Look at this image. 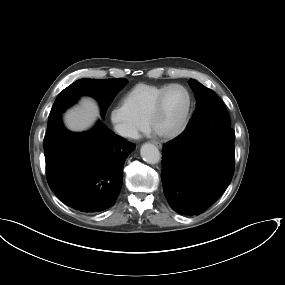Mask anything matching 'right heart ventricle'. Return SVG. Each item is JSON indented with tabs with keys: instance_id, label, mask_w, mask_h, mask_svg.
I'll list each match as a JSON object with an SVG mask.
<instances>
[{
	"instance_id": "obj_1",
	"label": "right heart ventricle",
	"mask_w": 285,
	"mask_h": 285,
	"mask_svg": "<svg viewBox=\"0 0 285 285\" xmlns=\"http://www.w3.org/2000/svg\"><path fill=\"white\" fill-rule=\"evenodd\" d=\"M166 86L167 84H137L125 94L123 102L128 106L136 118L144 121L160 92Z\"/></svg>"
}]
</instances>
